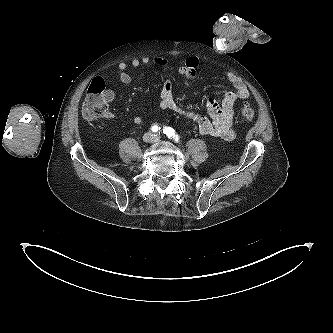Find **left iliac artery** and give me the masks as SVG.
I'll list each match as a JSON object with an SVG mask.
<instances>
[{"label":"left iliac artery","mask_w":333,"mask_h":333,"mask_svg":"<svg viewBox=\"0 0 333 333\" xmlns=\"http://www.w3.org/2000/svg\"><path fill=\"white\" fill-rule=\"evenodd\" d=\"M163 133L168 137V138H174L176 142L179 141V137L176 134L175 130L172 127H164L163 128Z\"/></svg>","instance_id":"1"}]
</instances>
